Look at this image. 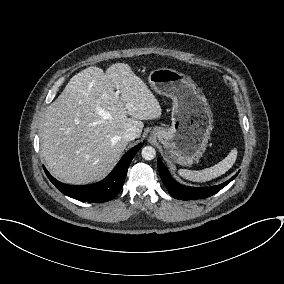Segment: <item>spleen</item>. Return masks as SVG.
Wrapping results in <instances>:
<instances>
[{
	"label": "spleen",
	"mask_w": 284,
	"mask_h": 284,
	"mask_svg": "<svg viewBox=\"0 0 284 284\" xmlns=\"http://www.w3.org/2000/svg\"><path fill=\"white\" fill-rule=\"evenodd\" d=\"M236 158H237V149L234 148L231 150V152L227 155L225 159H223L218 164L210 168H206L200 171L180 169L178 173L180 176L190 181L194 182L209 181L216 177L221 176L226 171H228L235 163Z\"/></svg>",
	"instance_id": "3e777b00"
}]
</instances>
